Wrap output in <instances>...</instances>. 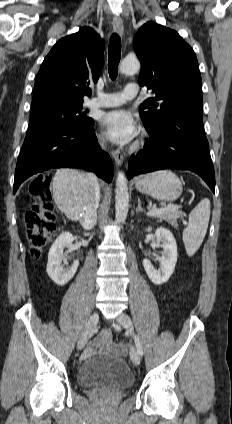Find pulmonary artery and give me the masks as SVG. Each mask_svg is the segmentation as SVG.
Instances as JSON below:
<instances>
[{"mask_svg": "<svg viewBox=\"0 0 232 424\" xmlns=\"http://www.w3.org/2000/svg\"><path fill=\"white\" fill-rule=\"evenodd\" d=\"M139 93L137 84H128L123 92L98 93L97 96L88 102L89 107H117L126 101L133 99Z\"/></svg>", "mask_w": 232, "mask_h": 424, "instance_id": "e3ab8cb5", "label": "pulmonary artery"}]
</instances>
